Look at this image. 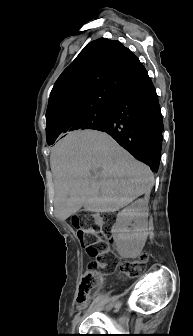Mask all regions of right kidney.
I'll return each mask as SVG.
<instances>
[{
	"instance_id": "obj_1",
	"label": "right kidney",
	"mask_w": 193,
	"mask_h": 336,
	"mask_svg": "<svg viewBox=\"0 0 193 336\" xmlns=\"http://www.w3.org/2000/svg\"><path fill=\"white\" fill-rule=\"evenodd\" d=\"M148 200L138 199L118 213L113 227L119 254L135 257L142 251L148 235Z\"/></svg>"
}]
</instances>
